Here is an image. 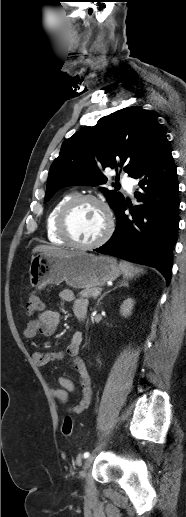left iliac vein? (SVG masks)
I'll return each instance as SVG.
<instances>
[{"label":"left iliac vein","instance_id":"4c4485c4","mask_svg":"<svg viewBox=\"0 0 186 517\" xmlns=\"http://www.w3.org/2000/svg\"><path fill=\"white\" fill-rule=\"evenodd\" d=\"M93 459H94V458H93L92 456H90V457H88V458L85 460V462H84V464H83V471L81 472V477H82V478H83V477H85V475H86V471H87V470L89 469V467L91 466V464H92V462H93Z\"/></svg>","mask_w":186,"mask_h":517}]
</instances>
